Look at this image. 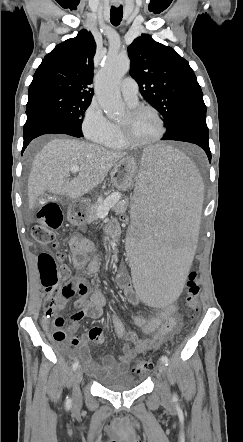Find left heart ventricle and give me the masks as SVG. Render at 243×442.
Returning a JSON list of instances; mask_svg holds the SVG:
<instances>
[{
    "label": "left heart ventricle",
    "instance_id": "left-heart-ventricle-1",
    "mask_svg": "<svg viewBox=\"0 0 243 442\" xmlns=\"http://www.w3.org/2000/svg\"><path fill=\"white\" fill-rule=\"evenodd\" d=\"M120 123L127 125L128 134L134 141L153 139L159 132V123L155 115L149 111L136 116L131 115L129 111Z\"/></svg>",
    "mask_w": 243,
    "mask_h": 442
}]
</instances>
